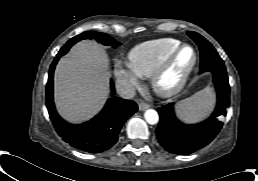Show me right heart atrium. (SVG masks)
<instances>
[{
	"label": "right heart atrium",
	"instance_id": "right-heart-atrium-1",
	"mask_svg": "<svg viewBox=\"0 0 258 181\" xmlns=\"http://www.w3.org/2000/svg\"><path fill=\"white\" fill-rule=\"evenodd\" d=\"M113 73L123 93L130 94L139 86V77L121 63L114 65Z\"/></svg>",
	"mask_w": 258,
	"mask_h": 181
}]
</instances>
